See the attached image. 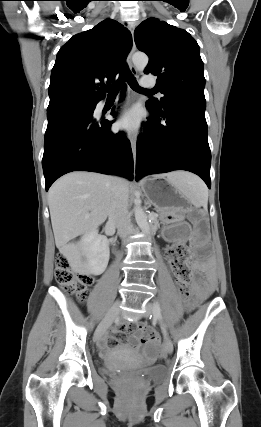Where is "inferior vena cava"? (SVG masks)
Returning a JSON list of instances; mask_svg holds the SVG:
<instances>
[{
  "mask_svg": "<svg viewBox=\"0 0 261 427\" xmlns=\"http://www.w3.org/2000/svg\"><path fill=\"white\" fill-rule=\"evenodd\" d=\"M128 188L125 180L119 177L113 178L112 198L109 207V223L117 227L121 238H127L133 231L131 220L128 216Z\"/></svg>",
  "mask_w": 261,
  "mask_h": 427,
  "instance_id": "obj_1",
  "label": "inferior vena cava"
}]
</instances>
